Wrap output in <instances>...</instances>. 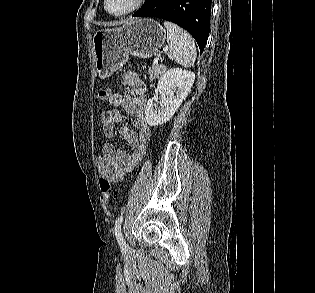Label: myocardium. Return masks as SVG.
I'll return each instance as SVG.
<instances>
[{"label": "myocardium", "instance_id": "obj_1", "mask_svg": "<svg viewBox=\"0 0 315 293\" xmlns=\"http://www.w3.org/2000/svg\"><path fill=\"white\" fill-rule=\"evenodd\" d=\"M146 0H134L132 6L128 8L127 10L121 12V13H112L107 8V2L108 0H103V7L107 14L113 17H123L126 15H129L131 13H134L135 11L139 10L145 3Z\"/></svg>", "mask_w": 315, "mask_h": 293}]
</instances>
